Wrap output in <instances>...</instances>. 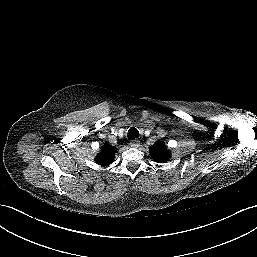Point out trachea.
Wrapping results in <instances>:
<instances>
[{"label":"trachea","instance_id":"obj_1","mask_svg":"<svg viewBox=\"0 0 257 257\" xmlns=\"http://www.w3.org/2000/svg\"><path fill=\"white\" fill-rule=\"evenodd\" d=\"M127 137L129 140L135 139L139 137V131L135 127H131L128 130Z\"/></svg>","mask_w":257,"mask_h":257}]
</instances>
